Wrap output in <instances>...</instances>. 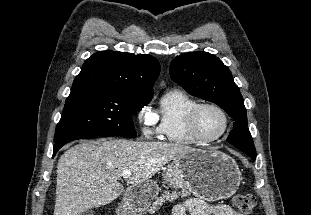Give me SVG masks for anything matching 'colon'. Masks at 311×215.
I'll return each instance as SVG.
<instances>
[{"instance_id": "colon-1", "label": "colon", "mask_w": 311, "mask_h": 215, "mask_svg": "<svg viewBox=\"0 0 311 215\" xmlns=\"http://www.w3.org/2000/svg\"><path fill=\"white\" fill-rule=\"evenodd\" d=\"M233 204L241 215H250L255 208L256 198L252 194H236L233 197Z\"/></svg>"}]
</instances>
